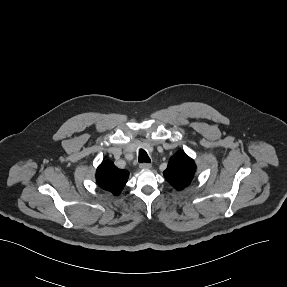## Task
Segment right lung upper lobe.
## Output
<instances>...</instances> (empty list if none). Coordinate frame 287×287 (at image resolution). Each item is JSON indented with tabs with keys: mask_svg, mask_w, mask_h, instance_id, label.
<instances>
[{
	"mask_svg": "<svg viewBox=\"0 0 287 287\" xmlns=\"http://www.w3.org/2000/svg\"><path fill=\"white\" fill-rule=\"evenodd\" d=\"M129 177V172L117 168L111 161H103L96 171L97 184L114 195H119Z\"/></svg>",
	"mask_w": 287,
	"mask_h": 287,
	"instance_id": "obj_1",
	"label": "right lung upper lobe"
}]
</instances>
